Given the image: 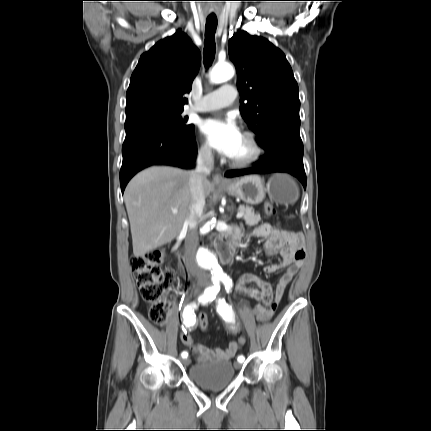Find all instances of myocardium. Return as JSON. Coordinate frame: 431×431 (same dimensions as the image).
<instances>
[{"label":"myocardium","instance_id":"1","mask_svg":"<svg viewBox=\"0 0 431 431\" xmlns=\"http://www.w3.org/2000/svg\"><path fill=\"white\" fill-rule=\"evenodd\" d=\"M243 137H245L249 142L252 151L250 155H248L245 158H241V159L230 158L229 163L234 167H247V166L253 165L256 162H258L264 154V148L259 138L254 132L245 131L243 133Z\"/></svg>","mask_w":431,"mask_h":431}]
</instances>
